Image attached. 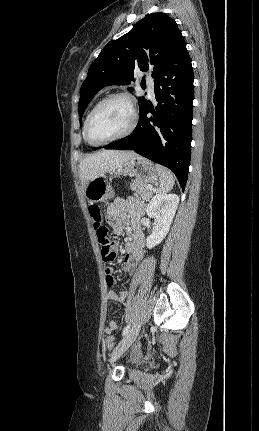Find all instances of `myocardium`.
<instances>
[{
	"label": "myocardium",
	"mask_w": 259,
	"mask_h": 431,
	"mask_svg": "<svg viewBox=\"0 0 259 431\" xmlns=\"http://www.w3.org/2000/svg\"><path fill=\"white\" fill-rule=\"evenodd\" d=\"M113 99H122V100L127 102L128 106L130 108V112H131V122H130L128 128L125 131H123L122 133H120L114 137H111L109 139H106V140H102V141L95 140L91 135L92 120H93L96 112L99 110V108L101 106H103L105 103H107ZM137 124H138V113H137L136 104H135L133 97L130 94L125 93V92L112 93V94H109L106 97L102 98L94 106V108L90 111V113L87 117L86 125H85V135H86L87 140L92 145H94V146L105 145V144H108V143H111V142H114V141H117V140H120V139H123V138L129 136L136 129Z\"/></svg>",
	"instance_id": "obj_1"
}]
</instances>
